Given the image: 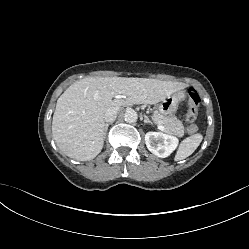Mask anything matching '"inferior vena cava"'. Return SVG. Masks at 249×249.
I'll list each match as a JSON object with an SVG mask.
<instances>
[{"instance_id": "602c4592", "label": "inferior vena cava", "mask_w": 249, "mask_h": 249, "mask_svg": "<svg viewBox=\"0 0 249 249\" xmlns=\"http://www.w3.org/2000/svg\"><path fill=\"white\" fill-rule=\"evenodd\" d=\"M119 109H120L119 107H113V108L108 109L105 113V117H104L105 121L106 122L115 121Z\"/></svg>"}]
</instances>
